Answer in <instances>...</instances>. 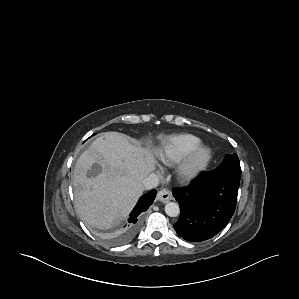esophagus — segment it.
<instances>
[{"mask_svg":"<svg viewBox=\"0 0 299 299\" xmlns=\"http://www.w3.org/2000/svg\"><path fill=\"white\" fill-rule=\"evenodd\" d=\"M172 199L171 192L165 188L161 189L156 197V200L159 202H167Z\"/></svg>","mask_w":299,"mask_h":299,"instance_id":"34e87169","label":"esophagus"}]
</instances>
